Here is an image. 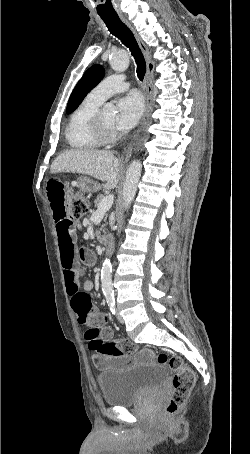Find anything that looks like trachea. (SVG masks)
I'll use <instances>...</instances> for the list:
<instances>
[{"label":"trachea","mask_w":250,"mask_h":454,"mask_svg":"<svg viewBox=\"0 0 250 454\" xmlns=\"http://www.w3.org/2000/svg\"><path fill=\"white\" fill-rule=\"evenodd\" d=\"M110 33L116 36L129 48L137 65V76L142 81L146 73V61L144 55L134 37L132 31L120 20L118 15L100 16Z\"/></svg>","instance_id":"obj_1"}]
</instances>
